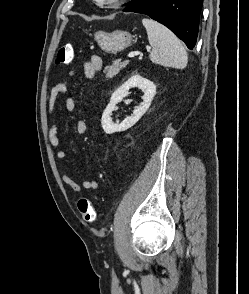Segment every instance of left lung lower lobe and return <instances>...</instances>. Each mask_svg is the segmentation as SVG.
<instances>
[{"label": "left lung lower lobe", "mask_w": 249, "mask_h": 294, "mask_svg": "<svg viewBox=\"0 0 249 294\" xmlns=\"http://www.w3.org/2000/svg\"><path fill=\"white\" fill-rule=\"evenodd\" d=\"M202 4L203 0H133L123 11L148 15L192 49L197 40Z\"/></svg>", "instance_id": "left-lung-lower-lobe-1"}]
</instances>
